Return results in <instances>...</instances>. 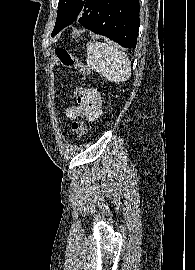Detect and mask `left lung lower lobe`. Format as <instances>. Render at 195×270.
Returning a JSON list of instances; mask_svg holds the SVG:
<instances>
[{
	"label": "left lung lower lobe",
	"instance_id": "1",
	"mask_svg": "<svg viewBox=\"0 0 195 270\" xmlns=\"http://www.w3.org/2000/svg\"><path fill=\"white\" fill-rule=\"evenodd\" d=\"M79 23L125 48H135L139 31V0H86ZM55 36V35H53Z\"/></svg>",
	"mask_w": 195,
	"mask_h": 270
}]
</instances>
